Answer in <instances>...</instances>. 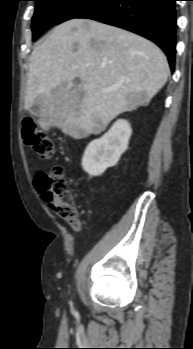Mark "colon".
<instances>
[{"instance_id": "5ec220e1", "label": "colon", "mask_w": 193, "mask_h": 349, "mask_svg": "<svg viewBox=\"0 0 193 349\" xmlns=\"http://www.w3.org/2000/svg\"><path fill=\"white\" fill-rule=\"evenodd\" d=\"M22 137L40 158L53 159L54 143L32 117L23 119ZM35 186L55 214L65 220L73 229L79 228L77 205L61 166H54L48 172H39L35 178Z\"/></svg>"}]
</instances>
